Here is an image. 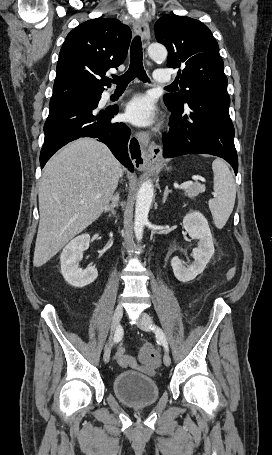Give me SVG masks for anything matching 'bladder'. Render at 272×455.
Returning a JSON list of instances; mask_svg holds the SVG:
<instances>
[{
	"label": "bladder",
	"mask_w": 272,
	"mask_h": 455,
	"mask_svg": "<svg viewBox=\"0 0 272 455\" xmlns=\"http://www.w3.org/2000/svg\"><path fill=\"white\" fill-rule=\"evenodd\" d=\"M115 396L125 405L143 407L154 404L159 397L157 382L138 371H124L118 374L112 384Z\"/></svg>",
	"instance_id": "31cf9c89"
}]
</instances>
